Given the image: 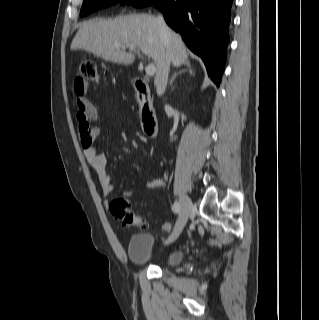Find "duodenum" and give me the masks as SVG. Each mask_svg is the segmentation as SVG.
Returning <instances> with one entry per match:
<instances>
[{"instance_id": "410a0bca", "label": "duodenum", "mask_w": 319, "mask_h": 320, "mask_svg": "<svg viewBox=\"0 0 319 320\" xmlns=\"http://www.w3.org/2000/svg\"><path fill=\"white\" fill-rule=\"evenodd\" d=\"M132 84L140 102L143 129L149 138H153L157 133V123L150 105L149 86L140 78H133Z\"/></svg>"}]
</instances>
